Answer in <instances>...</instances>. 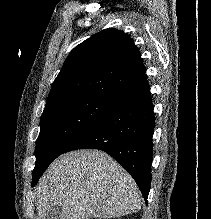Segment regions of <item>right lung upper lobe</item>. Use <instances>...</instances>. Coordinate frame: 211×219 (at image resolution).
<instances>
[{"mask_svg": "<svg viewBox=\"0 0 211 219\" xmlns=\"http://www.w3.org/2000/svg\"><path fill=\"white\" fill-rule=\"evenodd\" d=\"M148 87L140 52L129 35L105 29L71 51L53 82L45 108L81 97L117 105Z\"/></svg>", "mask_w": 211, "mask_h": 219, "instance_id": "1", "label": "right lung upper lobe"}]
</instances>
